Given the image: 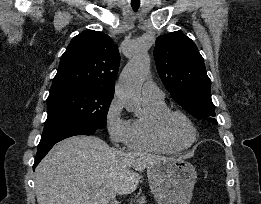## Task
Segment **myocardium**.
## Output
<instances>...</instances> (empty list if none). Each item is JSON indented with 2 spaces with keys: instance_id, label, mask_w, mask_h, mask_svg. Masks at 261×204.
<instances>
[{
  "instance_id": "myocardium-1",
  "label": "myocardium",
  "mask_w": 261,
  "mask_h": 204,
  "mask_svg": "<svg viewBox=\"0 0 261 204\" xmlns=\"http://www.w3.org/2000/svg\"><path fill=\"white\" fill-rule=\"evenodd\" d=\"M173 117H179V118L183 119L191 128L192 133H193V138L189 144L184 145V146H179L168 135L167 124H168L169 120ZM156 132H157L159 138L165 144H167L171 148L175 149L176 151H183V150L189 149L197 141V138H198L197 129H196L194 123L192 122V120L189 118L188 115H186L184 112H182L180 110L168 109V110L164 111L162 114H160L156 121Z\"/></svg>"
}]
</instances>
